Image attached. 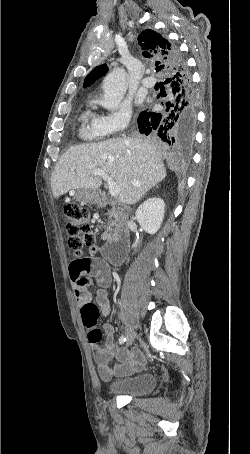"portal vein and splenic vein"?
<instances>
[{"instance_id": "1", "label": "portal vein and splenic vein", "mask_w": 250, "mask_h": 454, "mask_svg": "<svg viewBox=\"0 0 250 454\" xmlns=\"http://www.w3.org/2000/svg\"><path fill=\"white\" fill-rule=\"evenodd\" d=\"M92 175L102 177L109 186V194L112 197H117L120 192V188L117 184L109 177V175L101 169H95L92 171Z\"/></svg>"}]
</instances>
